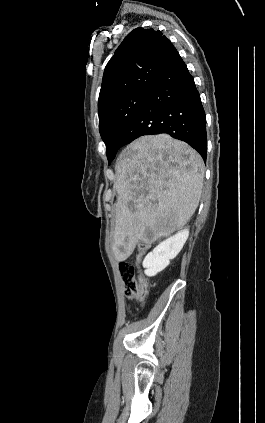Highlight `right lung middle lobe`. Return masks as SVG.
<instances>
[{
  "mask_svg": "<svg viewBox=\"0 0 265 423\" xmlns=\"http://www.w3.org/2000/svg\"><path fill=\"white\" fill-rule=\"evenodd\" d=\"M150 90L132 92L115 101L99 114V131L106 145L109 164L118 151L117 141L119 136L144 103Z\"/></svg>",
  "mask_w": 265,
  "mask_h": 423,
  "instance_id": "obj_1",
  "label": "right lung middle lobe"
}]
</instances>
